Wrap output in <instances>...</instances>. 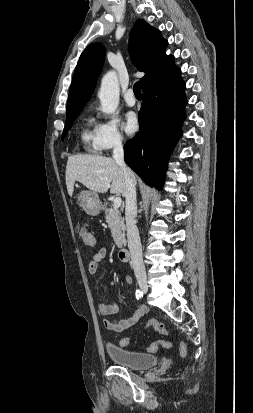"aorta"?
<instances>
[{"label":"aorta","mask_w":253,"mask_h":413,"mask_svg":"<svg viewBox=\"0 0 253 413\" xmlns=\"http://www.w3.org/2000/svg\"><path fill=\"white\" fill-rule=\"evenodd\" d=\"M120 88L115 71L107 72L101 81L98 97L101 103V110L106 114L114 113L119 105Z\"/></svg>","instance_id":"obj_1"}]
</instances>
